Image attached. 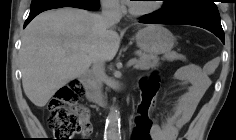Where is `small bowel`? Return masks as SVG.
<instances>
[{
    "label": "small bowel",
    "mask_w": 236,
    "mask_h": 140,
    "mask_svg": "<svg viewBox=\"0 0 236 140\" xmlns=\"http://www.w3.org/2000/svg\"><path fill=\"white\" fill-rule=\"evenodd\" d=\"M178 58L186 62L183 55H178ZM212 72V63L203 68L192 63H186L176 71L175 77L186 88V92L178 98L161 124L152 125L151 140H176L179 132L191 120L200 100L210 87L209 76ZM92 132L93 127L86 118V124L81 135L83 138H89Z\"/></svg>",
    "instance_id": "c3829d8e"
}]
</instances>
